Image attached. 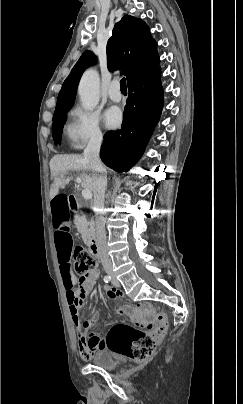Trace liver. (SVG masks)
Here are the masks:
<instances>
[{"instance_id":"obj_1","label":"liver","mask_w":243,"mask_h":404,"mask_svg":"<svg viewBox=\"0 0 243 404\" xmlns=\"http://www.w3.org/2000/svg\"><path fill=\"white\" fill-rule=\"evenodd\" d=\"M50 170L52 176H54L53 184H51L50 188V198L53 200L59 194L60 188H64L70 182V178H61L63 174L86 172V170H91V166L89 160H85L83 156H73V154H70V156H53L52 160H50ZM81 178L83 180L82 188L93 192L92 176L81 174Z\"/></svg>"}]
</instances>
